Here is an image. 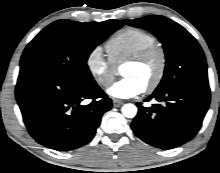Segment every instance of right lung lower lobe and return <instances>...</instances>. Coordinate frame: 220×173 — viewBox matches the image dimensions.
I'll return each instance as SVG.
<instances>
[{
  "label": "right lung lower lobe",
  "mask_w": 220,
  "mask_h": 173,
  "mask_svg": "<svg viewBox=\"0 0 220 173\" xmlns=\"http://www.w3.org/2000/svg\"><path fill=\"white\" fill-rule=\"evenodd\" d=\"M16 99L30 135L57 151L87 144L112 101L93 80L74 83L47 73H20ZM91 99L88 105L82 101Z\"/></svg>",
  "instance_id": "right-lung-lower-lobe-1"
}]
</instances>
